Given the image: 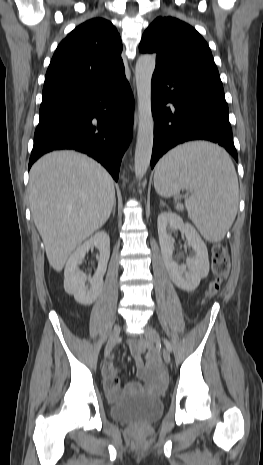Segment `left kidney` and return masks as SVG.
Listing matches in <instances>:
<instances>
[{"label":"left kidney","instance_id":"obj_1","mask_svg":"<svg viewBox=\"0 0 263 465\" xmlns=\"http://www.w3.org/2000/svg\"><path fill=\"white\" fill-rule=\"evenodd\" d=\"M157 227L162 257L171 280L183 290L194 291L200 280L209 273L206 244L196 229L191 224L184 223L175 213L162 212L158 216ZM170 230H179L185 234L188 246L195 251V256L187 258L185 265H179L173 259L174 242L168 233Z\"/></svg>","mask_w":263,"mask_h":465}]
</instances>
